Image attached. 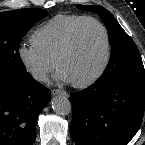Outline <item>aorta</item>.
<instances>
[{
	"label": "aorta",
	"mask_w": 145,
	"mask_h": 145,
	"mask_svg": "<svg viewBox=\"0 0 145 145\" xmlns=\"http://www.w3.org/2000/svg\"><path fill=\"white\" fill-rule=\"evenodd\" d=\"M52 108L59 115H68L72 106L69 99L65 95H57L52 99Z\"/></svg>",
	"instance_id": "obj_1"
}]
</instances>
